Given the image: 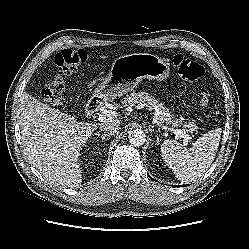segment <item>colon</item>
<instances>
[{"label":"colon","instance_id":"1","mask_svg":"<svg viewBox=\"0 0 249 249\" xmlns=\"http://www.w3.org/2000/svg\"><path fill=\"white\" fill-rule=\"evenodd\" d=\"M87 53L84 50L64 49L56 54L54 59L55 73L42 90L43 100L57 110L64 107V80L83 65L87 60ZM173 66L179 76L188 82L200 80L204 75V68L201 64L181 54L173 56ZM210 101V92L207 88L199 91V104L207 106Z\"/></svg>","mask_w":249,"mask_h":249}]
</instances>
